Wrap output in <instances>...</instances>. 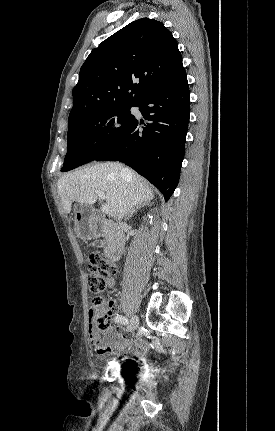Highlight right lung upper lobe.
Wrapping results in <instances>:
<instances>
[{
  "label": "right lung upper lobe",
  "instance_id": "obj_1",
  "mask_svg": "<svg viewBox=\"0 0 275 431\" xmlns=\"http://www.w3.org/2000/svg\"><path fill=\"white\" fill-rule=\"evenodd\" d=\"M183 69L178 44L161 22H131L93 49L82 65L68 123L112 106H135Z\"/></svg>",
  "mask_w": 275,
  "mask_h": 431
}]
</instances>
